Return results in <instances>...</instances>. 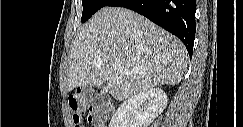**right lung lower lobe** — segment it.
Instances as JSON below:
<instances>
[{"mask_svg":"<svg viewBox=\"0 0 243 127\" xmlns=\"http://www.w3.org/2000/svg\"><path fill=\"white\" fill-rule=\"evenodd\" d=\"M107 6L133 10L176 35L192 57L196 0H111Z\"/></svg>","mask_w":243,"mask_h":127,"instance_id":"obj_1","label":"right lung lower lobe"}]
</instances>
